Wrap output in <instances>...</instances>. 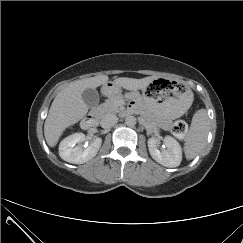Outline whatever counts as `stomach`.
Returning <instances> with one entry per match:
<instances>
[{"mask_svg":"<svg viewBox=\"0 0 243 243\" xmlns=\"http://www.w3.org/2000/svg\"><path fill=\"white\" fill-rule=\"evenodd\" d=\"M106 95H113L116 86L108 82L103 86ZM142 100L155 117L172 121L184 115L193 102V92L180 82L156 79L142 90Z\"/></svg>","mask_w":243,"mask_h":243,"instance_id":"1","label":"stomach"}]
</instances>
